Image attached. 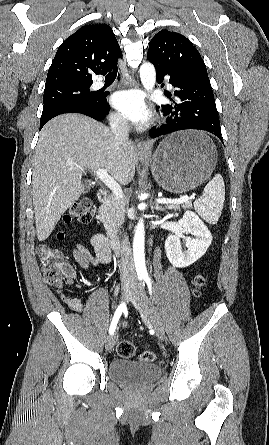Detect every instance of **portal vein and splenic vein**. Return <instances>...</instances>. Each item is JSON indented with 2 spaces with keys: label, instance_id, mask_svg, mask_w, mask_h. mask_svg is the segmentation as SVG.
I'll return each instance as SVG.
<instances>
[{
  "label": "portal vein and splenic vein",
  "instance_id": "1",
  "mask_svg": "<svg viewBox=\"0 0 269 445\" xmlns=\"http://www.w3.org/2000/svg\"><path fill=\"white\" fill-rule=\"evenodd\" d=\"M96 174L97 178H99L113 193V195L120 200H124V194L120 185L112 178L105 169H97L93 171ZM191 199H195V195H183L178 199H166L159 198L157 199V203L160 204H183Z\"/></svg>",
  "mask_w": 269,
  "mask_h": 445
}]
</instances>
